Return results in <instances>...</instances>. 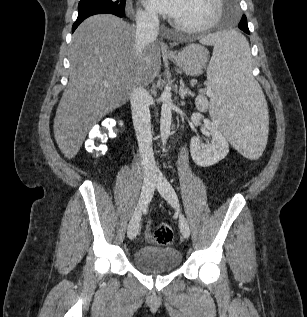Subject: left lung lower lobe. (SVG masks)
I'll return each mask as SVG.
<instances>
[{"instance_id": "obj_1", "label": "left lung lower lobe", "mask_w": 307, "mask_h": 317, "mask_svg": "<svg viewBox=\"0 0 307 317\" xmlns=\"http://www.w3.org/2000/svg\"><path fill=\"white\" fill-rule=\"evenodd\" d=\"M238 27L245 33L250 34L248 25H247V20L240 21Z\"/></svg>"}]
</instances>
